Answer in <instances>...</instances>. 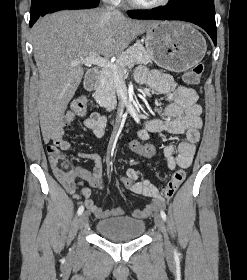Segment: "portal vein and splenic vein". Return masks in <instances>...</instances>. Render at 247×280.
I'll list each match as a JSON object with an SVG mask.
<instances>
[{
	"label": "portal vein and splenic vein",
	"mask_w": 247,
	"mask_h": 280,
	"mask_svg": "<svg viewBox=\"0 0 247 280\" xmlns=\"http://www.w3.org/2000/svg\"><path fill=\"white\" fill-rule=\"evenodd\" d=\"M88 64L97 65V66H99L101 68H110V69H113V70H117V68H118L115 63H112L108 59L100 57L96 53H91L87 57L82 58V59H80L78 61H73L71 63L72 66L88 65Z\"/></svg>",
	"instance_id": "obj_1"
}]
</instances>
